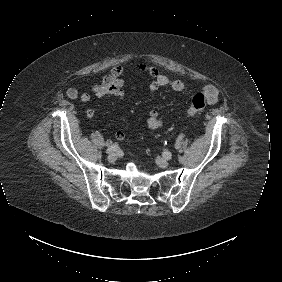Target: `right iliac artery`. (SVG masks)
Instances as JSON below:
<instances>
[{
	"mask_svg": "<svg viewBox=\"0 0 282 282\" xmlns=\"http://www.w3.org/2000/svg\"><path fill=\"white\" fill-rule=\"evenodd\" d=\"M118 148V144L117 143H114V144H111L107 150H106V153L109 154V153H112L114 151H116Z\"/></svg>",
	"mask_w": 282,
	"mask_h": 282,
	"instance_id": "obj_1",
	"label": "right iliac artery"
}]
</instances>
